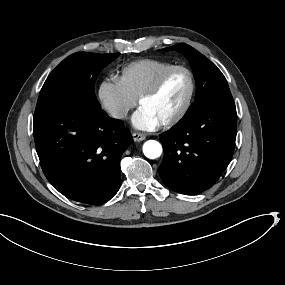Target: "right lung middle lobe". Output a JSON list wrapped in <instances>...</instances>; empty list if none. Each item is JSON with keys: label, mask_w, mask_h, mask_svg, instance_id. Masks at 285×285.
Instances as JSON below:
<instances>
[{"label": "right lung middle lobe", "mask_w": 285, "mask_h": 285, "mask_svg": "<svg viewBox=\"0 0 285 285\" xmlns=\"http://www.w3.org/2000/svg\"><path fill=\"white\" fill-rule=\"evenodd\" d=\"M118 56L85 52L68 56L46 79L34 115L63 104L100 110L101 106L95 96V80L103 68Z\"/></svg>", "instance_id": "dd1d6c3e"}]
</instances>
